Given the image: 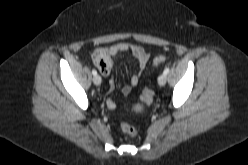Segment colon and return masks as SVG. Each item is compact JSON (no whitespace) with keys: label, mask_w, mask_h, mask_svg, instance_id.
<instances>
[{"label":"colon","mask_w":248,"mask_h":165,"mask_svg":"<svg viewBox=\"0 0 248 165\" xmlns=\"http://www.w3.org/2000/svg\"><path fill=\"white\" fill-rule=\"evenodd\" d=\"M92 59H93L94 65L100 71L107 70L112 63L108 50L104 48L94 51L92 55ZM165 60H166V57L164 55H158L154 58L153 65L155 66L160 65L164 63ZM152 97H153V91L150 88L145 87L140 96V106L141 107L149 106L150 103L152 102ZM120 127L124 133L130 136H135L137 134V129L135 128V126H133L130 123H122Z\"/></svg>","instance_id":"5ec220e1"}]
</instances>
